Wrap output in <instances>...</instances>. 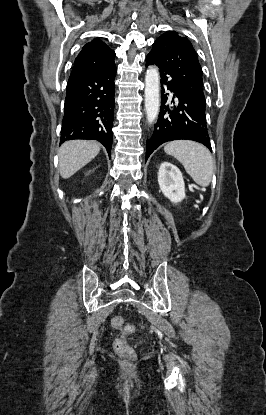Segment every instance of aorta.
I'll return each instance as SVG.
<instances>
[{"label": "aorta", "mask_w": 266, "mask_h": 415, "mask_svg": "<svg viewBox=\"0 0 266 415\" xmlns=\"http://www.w3.org/2000/svg\"><path fill=\"white\" fill-rule=\"evenodd\" d=\"M144 97L147 122L152 124L160 109V76L154 66L149 67L145 75Z\"/></svg>", "instance_id": "762f6f07"}]
</instances>
